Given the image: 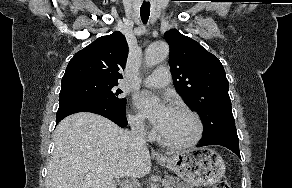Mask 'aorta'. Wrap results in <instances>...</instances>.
Instances as JSON below:
<instances>
[{
  "instance_id": "aorta-1",
  "label": "aorta",
  "mask_w": 292,
  "mask_h": 188,
  "mask_svg": "<svg viewBox=\"0 0 292 188\" xmlns=\"http://www.w3.org/2000/svg\"><path fill=\"white\" fill-rule=\"evenodd\" d=\"M169 54V46L163 41L152 43L145 52V63L148 67L162 62Z\"/></svg>"
}]
</instances>
